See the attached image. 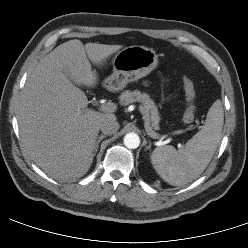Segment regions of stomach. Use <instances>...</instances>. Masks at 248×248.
<instances>
[{"label": "stomach", "instance_id": "1", "mask_svg": "<svg viewBox=\"0 0 248 248\" xmlns=\"http://www.w3.org/2000/svg\"><path fill=\"white\" fill-rule=\"evenodd\" d=\"M112 64L113 73L106 78L105 85L109 90L118 91L154 70L158 55L151 48L129 46L115 55Z\"/></svg>", "mask_w": 248, "mask_h": 248}]
</instances>
